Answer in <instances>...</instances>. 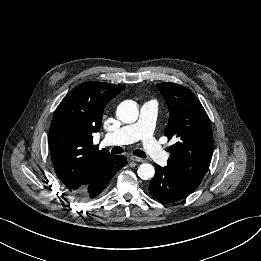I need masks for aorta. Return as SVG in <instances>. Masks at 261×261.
<instances>
[{"label":"aorta","mask_w":261,"mask_h":261,"mask_svg":"<svg viewBox=\"0 0 261 261\" xmlns=\"http://www.w3.org/2000/svg\"><path fill=\"white\" fill-rule=\"evenodd\" d=\"M117 118L123 123H134L139 116L137 103L132 100L121 102L116 111ZM138 176L143 180H149L154 177L155 169L149 163H143L137 170Z\"/></svg>","instance_id":"aorta-1"}]
</instances>
